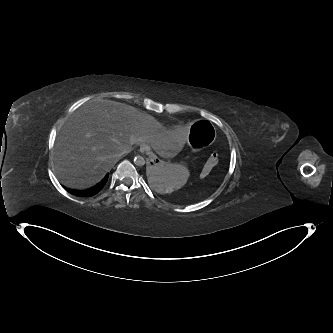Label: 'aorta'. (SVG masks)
I'll return each instance as SVG.
<instances>
[{
  "mask_svg": "<svg viewBox=\"0 0 333 333\" xmlns=\"http://www.w3.org/2000/svg\"><path fill=\"white\" fill-rule=\"evenodd\" d=\"M134 164L136 166H144L145 165V159L144 157L140 156V155H137L134 157Z\"/></svg>",
  "mask_w": 333,
  "mask_h": 333,
  "instance_id": "aorta-1",
  "label": "aorta"
}]
</instances>
